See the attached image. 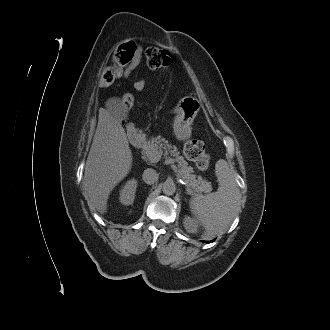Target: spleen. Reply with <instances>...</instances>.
Here are the masks:
<instances>
[{
	"label": "spleen",
	"mask_w": 330,
	"mask_h": 330,
	"mask_svg": "<svg viewBox=\"0 0 330 330\" xmlns=\"http://www.w3.org/2000/svg\"><path fill=\"white\" fill-rule=\"evenodd\" d=\"M215 173L220 184L218 190L207 195L197 194L190 200L191 212L205 229L206 237L224 231L239 208L240 193L234 170L220 159L215 164Z\"/></svg>",
	"instance_id": "3e777b00"
}]
</instances>
